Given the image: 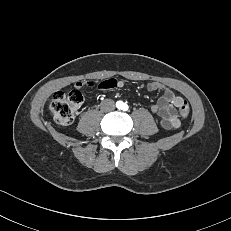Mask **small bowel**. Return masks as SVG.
I'll return each mask as SVG.
<instances>
[{
	"mask_svg": "<svg viewBox=\"0 0 231 231\" xmlns=\"http://www.w3.org/2000/svg\"><path fill=\"white\" fill-rule=\"evenodd\" d=\"M89 82H78L76 86L78 88L86 87ZM124 82L116 79L110 78L100 82L99 87L105 90H110L114 88H122ZM147 89L150 92L163 90V94L158 99L157 104L151 105L150 110L152 113L157 114L159 117V123L164 129H177L181 126V120L177 114V109H179L181 103L184 99L181 96L176 95L170 89L164 87L161 83L157 81H151L147 84Z\"/></svg>",
	"mask_w": 231,
	"mask_h": 231,
	"instance_id": "obj_1",
	"label": "small bowel"
}]
</instances>
